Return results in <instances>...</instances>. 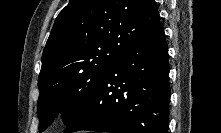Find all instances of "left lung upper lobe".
I'll list each match as a JSON object with an SVG mask.
<instances>
[{"label":"left lung upper lobe","instance_id":"obj_1","mask_svg":"<svg viewBox=\"0 0 221 133\" xmlns=\"http://www.w3.org/2000/svg\"><path fill=\"white\" fill-rule=\"evenodd\" d=\"M159 18L154 0H70L57 16L42 55L39 130L61 108L67 110L68 126L108 68Z\"/></svg>","mask_w":221,"mask_h":133}]
</instances>
